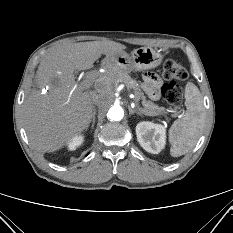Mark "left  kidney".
<instances>
[{
    "instance_id": "1",
    "label": "left kidney",
    "mask_w": 233,
    "mask_h": 233,
    "mask_svg": "<svg viewBox=\"0 0 233 233\" xmlns=\"http://www.w3.org/2000/svg\"><path fill=\"white\" fill-rule=\"evenodd\" d=\"M137 140L149 153L158 154L165 147L166 129L160 124L140 122L136 126Z\"/></svg>"
}]
</instances>
